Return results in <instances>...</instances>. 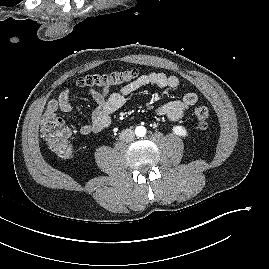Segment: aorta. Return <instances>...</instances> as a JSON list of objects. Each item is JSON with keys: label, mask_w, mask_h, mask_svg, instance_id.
<instances>
[{"label": "aorta", "mask_w": 269, "mask_h": 269, "mask_svg": "<svg viewBox=\"0 0 269 269\" xmlns=\"http://www.w3.org/2000/svg\"><path fill=\"white\" fill-rule=\"evenodd\" d=\"M135 134L138 137H143L146 134V128L144 126H138L135 129Z\"/></svg>", "instance_id": "762f6f07"}]
</instances>
